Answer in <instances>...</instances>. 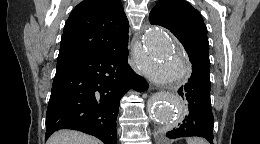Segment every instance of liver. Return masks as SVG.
I'll list each match as a JSON object with an SVG mask.
<instances>
[{"mask_svg": "<svg viewBox=\"0 0 260 144\" xmlns=\"http://www.w3.org/2000/svg\"><path fill=\"white\" fill-rule=\"evenodd\" d=\"M47 144H99V141L78 131L61 130L51 135Z\"/></svg>", "mask_w": 260, "mask_h": 144, "instance_id": "obj_1", "label": "liver"}]
</instances>
